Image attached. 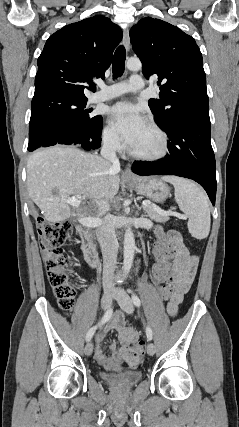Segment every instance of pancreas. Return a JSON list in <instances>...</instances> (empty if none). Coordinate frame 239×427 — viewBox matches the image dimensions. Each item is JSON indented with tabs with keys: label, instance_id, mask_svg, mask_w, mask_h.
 <instances>
[{
	"label": "pancreas",
	"instance_id": "1",
	"mask_svg": "<svg viewBox=\"0 0 239 427\" xmlns=\"http://www.w3.org/2000/svg\"><path fill=\"white\" fill-rule=\"evenodd\" d=\"M144 210L146 212V216L149 217L151 220H154L158 223H165L169 220V215H163L157 212L154 205L145 206Z\"/></svg>",
	"mask_w": 239,
	"mask_h": 427
}]
</instances>
